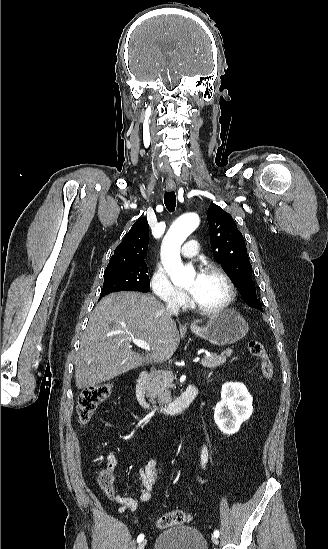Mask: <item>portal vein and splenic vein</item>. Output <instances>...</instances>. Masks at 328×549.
I'll return each instance as SVG.
<instances>
[{
  "instance_id": "obj_1",
  "label": "portal vein and splenic vein",
  "mask_w": 328,
  "mask_h": 549,
  "mask_svg": "<svg viewBox=\"0 0 328 549\" xmlns=\"http://www.w3.org/2000/svg\"><path fill=\"white\" fill-rule=\"evenodd\" d=\"M131 341L132 343H134V345H136V347H141V349H145V351H151V347H149L146 341H139V339H131ZM198 359H200V356H197V358H194V361H198Z\"/></svg>"
}]
</instances>
